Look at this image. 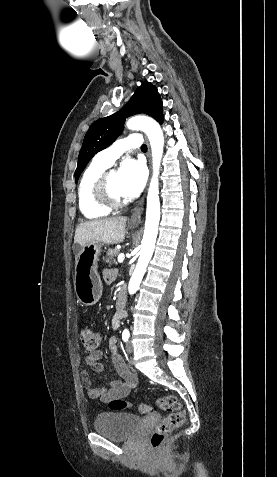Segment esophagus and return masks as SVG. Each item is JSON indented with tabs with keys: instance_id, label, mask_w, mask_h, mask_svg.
I'll return each instance as SVG.
<instances>
[{
	"instance_id": "esophagus-1",
	"label": "esophagus",
	"mask_w": 277,
	"mask_h": 477,
	"mask_svg": "<svg viewBox=\"0 0 277 477\" xmlns=\"http://www.w3.org/2000/svg\"><path fill=\"white\" fill-rule=\"evenodd\" d=\"M148 162H149V167L151 168V151L150 147L148 145ZM144 203H145V194L142 196V198L138 201L136 204L135 208L133 209L132 215L130 217L129 223L130 224H138L141 219V214L143 212L144 208Z\"/></svg>"
}]
</instances>
